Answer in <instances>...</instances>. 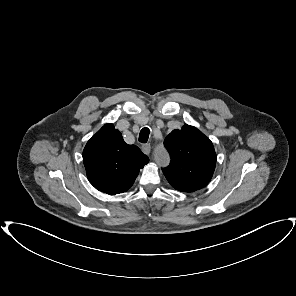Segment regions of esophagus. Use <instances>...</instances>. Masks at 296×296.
Here are the masks:
<instances>
[{"label":"esophagus","mask_w":296,"mask_h":296,"mask_svg":"<svg viewBox=\"0 0 296 296\" xmlns=\"http://www.w3.org/2000/svg\"><path fill=\"white\" fill-rule=\"evenodd\" d=\"M141 150H142V152L144 153V154H149L150 153V151H151V146H150V144H143L142 146H141Z\"/></svg>","instance_id":"34e87169"}]
</instances>
